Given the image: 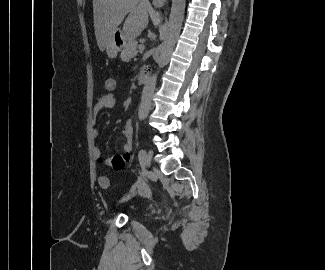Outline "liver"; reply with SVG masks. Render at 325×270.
<instances>
[{
  "label": "liver",
  "mask_w": 325,
  "mask_h": 270,
  "mask_svg": "<svg viewBox=\"0 0 325 270\" xmlns=\"http://www.w3.org/2000/svg\"><path fill=\"white\" fill-rule=\"evenodd\" d=\"M127 14L122 31L128 40L141 34L149 16L155 23L159 22L158 13L148 0H93L94 29L100 51L105 50Z\"/></svg>",
  "instance_id": "6515ba94"
}]
</instances>
